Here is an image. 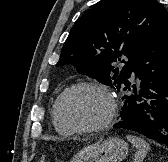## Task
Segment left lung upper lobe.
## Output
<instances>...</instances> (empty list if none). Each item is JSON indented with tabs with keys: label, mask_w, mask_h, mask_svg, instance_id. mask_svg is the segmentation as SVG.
Wrapping results in <instances>:
<instances>
[{
	"label": "left lung upper lobe",
	"mask_w": 168,
	"mask_h": 162,
	"mask_svg": "<svg viewBox=\"0 0 168 162\" xmlns=\"http://www.w3.org/2000/svg\"><path fill=\"white\" fill-rule=\"evenodd\" d=\"M168 16L156 0H101L73 26L56 66L72 64L81 74L121 90L132 63ZM121 71L111 65L117 57Z\"/></svg>",
	"instance_id": "obj_1"
}]
</instances>
